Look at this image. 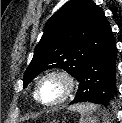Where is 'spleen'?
<instances>
[{"label":"spleen","instance_id":"spleen-1","mask_svg":"<svg viewBox=\"0 0 122 123\" xmlns=\"http://www.w3.org/2000/svg\"><path fill=\"white\" fill-rule=\"evenodd\" d=\"M71 110L81 114L80 123H98L99 117L102 118L104 123H109L107 112L101 110L96 104H76L71 107Z\"/></svg>","mask_w":122,"mask_h":123}]
</instances>
